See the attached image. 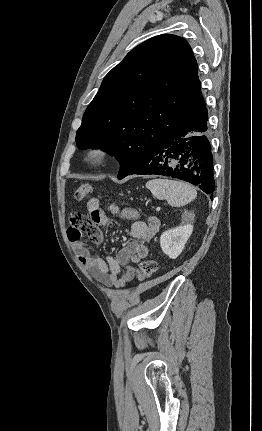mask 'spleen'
Returning a JSON list of instances; mask_svg holds the SVG:
<instances>
[{"instance_id": "spleen-1", "label": "spleen", "mask_w": 262, "mask_h": 431, "mask_svg": "<svg viewBox=\"0 0 262 431\" xmlns=\"http://www.w3.org/2000/svg\"><path fill=\"white\" fill-rule=\"evenodd\" d=\"M146 187L157 199H166L171 206L180 207L193 201L197 192L188 183L170 179H152Z\"/></svg>"}]
</instances>
